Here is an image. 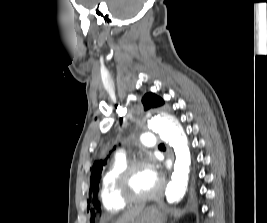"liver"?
I'll list each match as a JSON object with an SVG mask.
<instances>
[{
  "label": "liver",
  "mask_w": 267,
  "mask_h": 223,
  "mask_svg": "<svg viewBox=\"0 0 267 223\" xmlns=\"http://www.w3.org/2000/svg\"><path fill=\"white\" fill-rule=\"evenodd\" d=\"M144 209V206H138L126 211L117 221L116 223H128L129 221L136 218Z\"/></svg>",
  "instance_id": "6515ba94"
}]
</instances>
